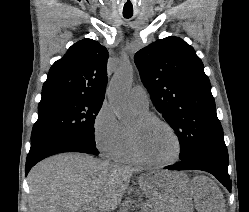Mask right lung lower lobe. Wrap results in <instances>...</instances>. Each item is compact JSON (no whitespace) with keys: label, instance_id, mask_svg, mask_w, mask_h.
Masks as SVG:
<instances>
[{"label":"right lung lower lobe","instance_id":"98d812e1","mask_svg":"<svg viewBox=\"0 0 249 212\" xmlns=\"http://www.w3.org/2000/svg\"><path fill=\"white\" fill-rule=\"evenodd\" d=\"M63 152L98 154L96 147L90 146L83 139L74 135L54 134L38 137L31 141V148L26 159L25 175L42 159Z\"/></svg>","mask_w":249,"mask_h":212}]
</instances>
